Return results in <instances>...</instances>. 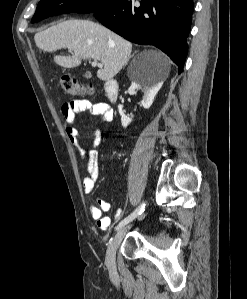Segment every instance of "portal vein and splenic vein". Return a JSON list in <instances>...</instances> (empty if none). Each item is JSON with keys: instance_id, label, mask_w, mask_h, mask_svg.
I'll use <instances>...</instances> for the list:
<instances>
[{"instance_id": "portal-vein-and-splenic-vein-1", "label": "portal vein and splenic vein", "mask_w": 247, "mask_h": 299, "mask_svg": "<svg viewBox=\"0 0 247 299\" xmlns=\"http://www.w3.org/2000/svg\"><path fill=\"white\" fill-rule=\"evenodd\" d=\"M92 66H93V67L98 66V67L102 68V64L98 63L97 61H93V62H92Z\"/></svg>"}]
</instances>
